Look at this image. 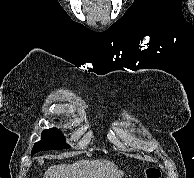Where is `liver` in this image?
Masks as SVG:
<instances>
[{"mask_svg": "<svg viewBox=\"0 0 194 178\" xmlns=\"http://www.w3.org/2000/svg\"><path fill=\"white\" fill-rule=\"evenodd\" d=\"M123 171L107 160H80L73 164L54 165L43 178H121Z\"/></svg>", "mask_w": 194, "mask_h": 178, "instance_id": "1", "label": "liver"}]
</instances>
